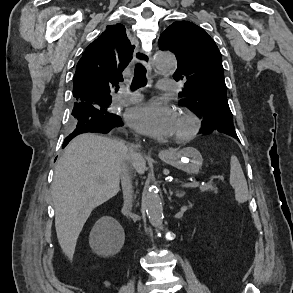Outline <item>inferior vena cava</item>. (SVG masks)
<instances>
[{"mask_svg":"<svg viewBox=\"0 0 293 293\" xmlns=\"http://www.w3.org/2000/svg\"><path fill=\"white\" fill-rule=\"evenodd\" d=\"M129 151H130V154L127 156L126 161L122 164L120 169V179L122 183L124 207L128 212L132 208V201H133L131 166H133V160L138 156V154L133 152L132 150H129Z\"/></svg>","mask_w":293,"mask_h":293,"instance_id":"1","label":"inferior vena cava"}]
</instances>
